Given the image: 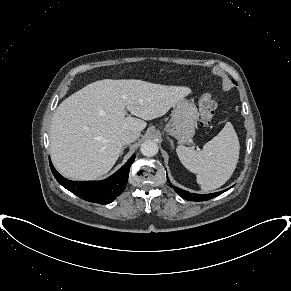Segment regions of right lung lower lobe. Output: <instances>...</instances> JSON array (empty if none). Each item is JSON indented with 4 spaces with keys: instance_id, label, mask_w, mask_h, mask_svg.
<instances>
[{
    "instance_id": "1",
    "label": "right lung lower lobe",
    "mask_w": 291,
    "mask_h": 291,
    "mask_svg": "<svg viewBox=\"0 0 291 291\" xmlns=\"http://www.w3.org/2000/svg\"><path fill=\"white\" fill-rule=\"evenodd\" d=\"M134 159L135 155L114 175L102 181H70L55 170L51 161L50 168L56 180L79 198L93 203L109 204L124 191Z\"/></svg>"
}]
</instances>
